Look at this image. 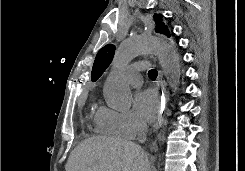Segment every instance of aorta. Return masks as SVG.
Masks as SVG:
<instances>
[{
  "instance_id": "obj_1",
  "label": "aorta",
  "mask_w": 245,
  "mask_h": 171,
  "mask_svg": "<svg viewBox=\"0 0 245 171\" xmlns=\"http://www.w3.org/2000/svg\"><path fill=\"white\" fill-rule=\"evenodd\" d=\"M146 53H153L159 58L171 87L179 84V55L168 42L153 36L127 38L121 43L114 57L112 72L103 88L105 101L110 108L126 111L131 107L132 93L120 73L135 57Z\"/></svg>"
}]
</instances>
